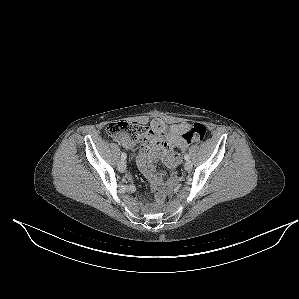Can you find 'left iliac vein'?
<instances>
[{"mask_svg": "<svg viewBox=\"0 0 299 299\" xmlns=\"http://www.w3.org/2000/svg\"><path fill=\"white\" fill-rule=\"evenodd\" d=\"M184 167L187 171H190L192 169V162L189 160L186 161Z\"/></svg>", "mask_w": 299, "mask_h": 299, "instance_id": "1", "label": "left iliac vein"}]
</instances>
